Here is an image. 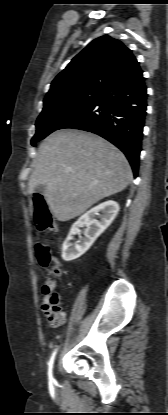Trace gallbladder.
Instances as JSON below:
<instances>
[{
  "mask_svg": "<svg viewBox=\"0 0 168 415\" xmlns=\"http://www.w3.org/2000/svg\"><path fill=\"white\" fill-rule=\"evenodd\" d=\"M38 189H39V190L44 191V190H45V186H43V185H39V186H38Z\"/></svg>",
  "mask_w": 168,
  "mask_h": 415,
  "instance_id": "obj_1",
  "label": "gallbladder"
}]
</instances>
